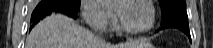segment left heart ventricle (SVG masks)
<instances>
[{
    "label": "left heart ventricle",
    "instance_id": "left-heart-ventricle-1",
    "mask_svg": "<svg viewBox=\"0 0 213 48\" xmlns=\"http://www.w3.org/2000/svg\"><path fill=\"white\" fill-rule=\"evenodd\" d=\"M114 10L119 14L122 22L130 29L145 28L150 21L149 8L139 2H118Z\"/></svg>",
    "mask_w": 213,
    "mask_h": 48
}]
</instances>
